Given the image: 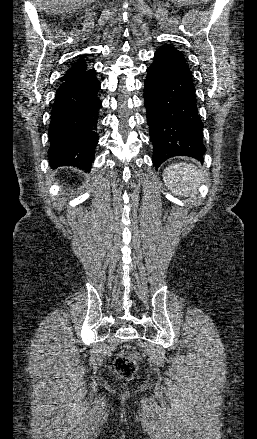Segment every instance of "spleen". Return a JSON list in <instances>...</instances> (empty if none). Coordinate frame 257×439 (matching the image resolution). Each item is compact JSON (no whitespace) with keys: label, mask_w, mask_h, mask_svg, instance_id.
<instances>
[{"label":"spleen","mask_w":257,"mask_h":439,"mask_svg":"<svg viewBox=\"0 0 257 439\" xmlns=\"http://www.w3.org/2000/svg\"><path fill=\"white\" fill-rule=\"evenodd\" d=\"M202 178V171L187 163L173 164L167 167L163 173V180L168 189L179 196L196 193Z\"/></svg>","instance_id":"3e777b00"}]
</instances>
